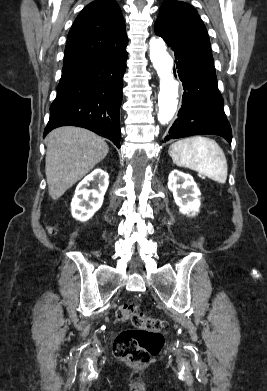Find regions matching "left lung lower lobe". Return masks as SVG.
Returning <instances> with one entry per match:
<instances>
[{"label": "left lung lower lobe", "mask_w": 267, "mask_h": 391, "mask_svg": "<svg viewBox=\"0 0 267 391\" xmlns=\"http://www.w3.org/2000/svg\"><path fill=\"white\" fill-rule=\"evenodd\" d=\"M162 37L175 53L176 67L183 82V101L178 118L169 129L165 141L191 135L213 134L232 139L230 124L223 110V98L217 87L212 54Z\"/></svg>", "instance_id": "left-lung-lower-lobe-1"}]
</instances>
